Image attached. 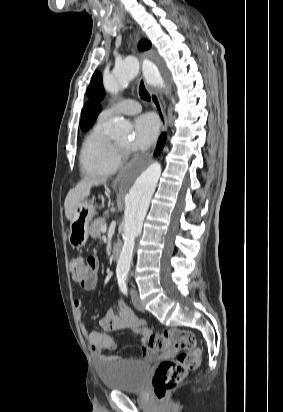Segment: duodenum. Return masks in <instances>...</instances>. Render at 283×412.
<instances>
[{"label":"duodenum","instance_id":"410a0bca","mask_svg":"<svg viewBox=\"0 0 283 412\" xmlns=\"http://www.w3.org/2000/svg\"><path fill=\"white\" fill-rule=\"evenodd\" d=\"M121 256V246L120 244L116 243L114 244L113 248H112V258L114 260H119Z\"/></svg>","mask_w":283,"mask_h":412}]
</instances>
